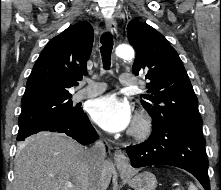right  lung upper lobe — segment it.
I'll return each mask as SVG.
<instances>
[{
  "instance_id": "obj_1",
  "label": "right lung upper lobe",
  "mask_w": 221,
  "mask_h": 190,
  "mask_svg": "<svg viewBox=\"0 0 221 190\" xmlns=\"http://www.w3.org/2000/svg\"><path fill=\"white\" fill-rule=\"evenodd\" d=\"M93 45V28L88 22L74 24L45 46L26 83L22 107L71 98L68 89L87 74Z\"/></svg>"
}]
</instances>
